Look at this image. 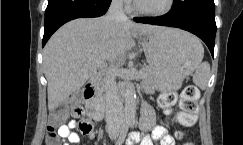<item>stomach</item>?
Masks as SVG:
<instances>
[{"mask_svg": "<svg viewBox=\"0 0 243 145\" xmlns=\"http://www.w3.org/2000/svg\"><path fill=\"white\" fill-rule=\"evenodd\" d=\"M147 62L160 91L178 90L185 77L197 67L200 41L179 29L164 28L141 38Z\"/></svg>", "mask_w": 243, "mask_h": 145, "instance_id": "stomach-1", "label": "stomach"}]
</instances>
